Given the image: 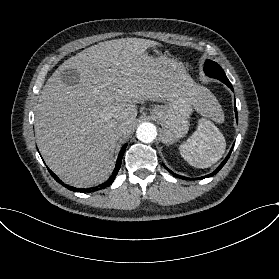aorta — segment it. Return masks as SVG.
Segmentation results:
<instances>
[{"instance_id":"aorta-1","label":"aorta","mask_w":279,"mask_h":279,"mask_svg":"<svg viewBox=\"0 0 279 279\" xmlns=\"http://www.w3.org/2000/svg\"><path fill=\"white\" fill-rule=\"evenodd\" d=\"M136 136L143 143H151L157 136L156 127L149 122L142 123L137 128Z\"/></svg>"}]
</instances>
